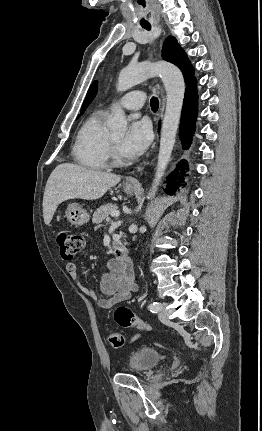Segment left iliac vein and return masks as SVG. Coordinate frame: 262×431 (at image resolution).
I'll list each match as a JSON object with an SVG mask.
<instances>
[{
  "label": "left iliac vein",
  "instance_id": "obj_1",
  "mask_svg": "<svg viewBox=\"0 0 262 431\" xmlns=\"http://www.w3.org/2000/svg\"><path fill=\"white\" fill-rule=\"evenodd\" d=\"M159 319L164 323L169 322V311L165 304H162V308L159 312Z\"/></svg>",
  "mask_w": 262,
  "mask_h": 431
}]
</instances>
